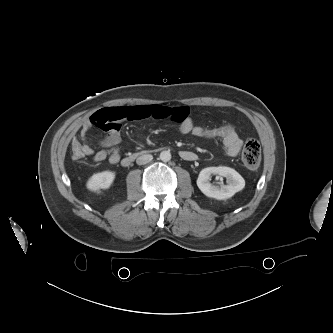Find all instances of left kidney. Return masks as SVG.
Here are the masks:
<instances>
[{"label": "left kidney", "mask_w": 333, "mask_h": 333, "mask_svg": "<svg viewBox=\"0 0 333 333\" xmlns=\"http://www.w3.org/2000/svg\"><path fill=\"white\" fill-rule=\"evenodd\" d=\"M211 174H217L227 178V185H212ZM197 186L207 197L224 200L232 197L245 187V180L234 169L225 166L207 167L202 169L197 179Z\"/></svg>", "instance_id": "left-kidney-1"}]
</instances>
